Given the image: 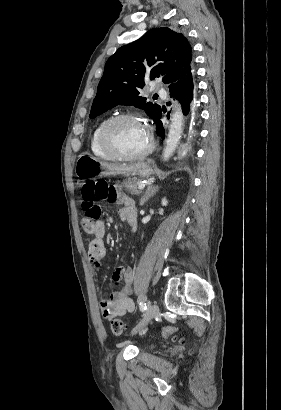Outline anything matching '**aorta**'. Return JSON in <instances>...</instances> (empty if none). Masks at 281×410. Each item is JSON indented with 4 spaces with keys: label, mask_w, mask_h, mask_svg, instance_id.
Returning <instances> with one entry per match:
<instances>
[{
    "label": "aorta",
    "mask_w": 281,
    "mask_h": 410,
    "mask_svg": "<svg viewBox=\"0 0 281 410\" xmlns=\"http://www.w3.org/2000/svg\"><path fill=\"white\" fill-rule=\"evenodd\" d=\"M183 113L180 104H176L174 107L171 124L169 128L168 138L166 140V146L163 151V159L168 160L174 153L179 140L183 132Z\"/></svg>",
    "instance_id": "aorta-1"
}]
</instances>
